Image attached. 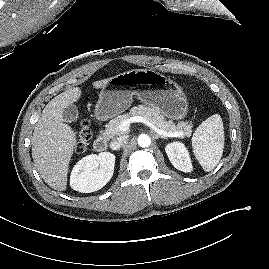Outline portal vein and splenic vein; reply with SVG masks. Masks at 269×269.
I'll return each mask as SVG.
<instances>
[{"label": "portal vein and splenic vein", "instance_id": "18ae733b", "mask_svg": "<svg viewBox=\"0 0 269 269\" xmlns=\"http://www.w3.org/2000/svg\"><path fill=\"white\" fill-rule=\"evenodd\" d=\"M133 122L143 123L146 126L150 127L152 130H154L157 134L163 135L166 137H183V136H185V132H183V131L166 132L162 129H159L152 122H150L149 120H147L146 118H144L142 116H133L127 120L122 121L119 125V130L121 132L128 131L130 123H133Z\"/></svg>", "mask_w": 269, "mask_h": 269}]
</instances>
